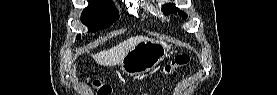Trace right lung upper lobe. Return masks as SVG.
Returning a JSON list of instances; mask_svg holds the SVG:
<instances>
[{
	"label": "right lung upper lobe",
	"instance_id": "right-lung-upper-lobe-1",
	"mask_svg": "<svg viewBox=\"0 0 277 95\" xmlns=\"http://www.w3.org/2000/svg\"><path fill=\"white\" fill-rule=\"evenodd\" d=\"M89 1H107V2H111V0H89Z\"/></svg>",
	"mask_w": 277,
	"mask_h": 95
}]
</instances>
